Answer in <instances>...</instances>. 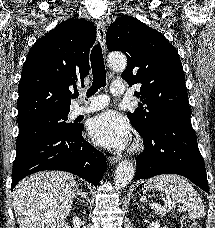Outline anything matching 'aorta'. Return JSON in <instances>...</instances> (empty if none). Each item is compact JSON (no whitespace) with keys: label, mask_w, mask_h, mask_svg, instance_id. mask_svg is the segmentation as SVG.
I'll return each mask as SVG.
<instances>
[{"label":"aorta","mask_w":215,"mask_h":228,"mask_svg":"<svg viewBox=\"0 0 215 228\" xmlns=\"http://www.w3.org/2000/svg\"><path fill=\"white\" fill-rule=\"evenodd\" d=\"M108 64L113 70H125L127 66L126 56L123 54H110L108 58ZM135 176V166L133 162H121L115 172V186L117 188H125L127 184H130Z\"/></svg>","instance_id":"762f6f07"}]
</instances>
